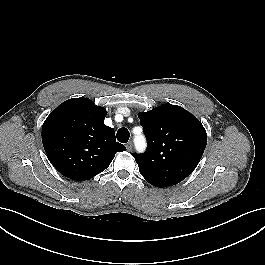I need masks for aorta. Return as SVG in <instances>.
<instances>
[{
	"mask_svg": "<svg viewBox=\"0 0 265 265\" xmlns=\"http://www.w3.org/2000/svg\"><path fill=\"white\" fill-rule=\"evenodd\" d=\"M137 144L139 147H143L144 146V140L142 138H138L137 139Z\"/></svg>",
	"mask_w": 265,
	"mask_h": 265,
	"instance_id": "obj_1",
	"label": "aorta"
}]
</instances>
